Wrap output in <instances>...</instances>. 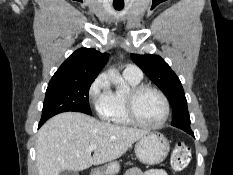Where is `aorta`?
<instances>
[{
	"instance_id": "aorta-1",
	"label": "aorta",
	"mask_w": 233,
	"mask_h": 175,
	"mask_svg": "<svg viewBox=\"0 0 233 175\" xmlns=\"http://www.w3.org/2000/svg\"><path fill=\"white\" fill-rule=\"evenodd\" d=\"M109 75H110V78L112 79V81H114L116 84H118V85L124 84L123 78L116 71H113V70L110 71Z\"/></svg>"
}]
</instances>
